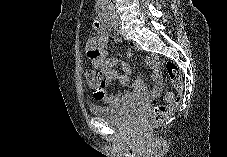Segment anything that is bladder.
<instances>
[{
  "instance_id": "bladder-1",
  "label": "bladder",
  "mask_w": 227,
  "mask_h": 157,
  "mask_svg": "<svg viewBox=\"0 0 227 157\" xmlns=\"http://www.w3.org/2000/svg\"><path fill=\"white\" fill-rule=\"evenodd\" d=\"M91 113L117 126H127L143 114V107L127 104L119 107L92 106Z\"/></svg>"
}]
</instances>
